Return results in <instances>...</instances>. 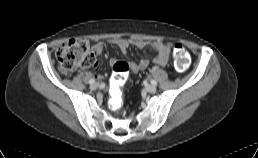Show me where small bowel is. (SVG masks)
<instances>
[{
    "label": "small bowel",
    "mask_w": 258,
    "mask_h": 158,
    "mask_svg": "<svg viewBox=\"0 0 258 158\" xmlns=\"http://www.w3.org/2000/svg\"><path fill=\"white\" fill-rule=\"evenodd\" d=\"M109 43L117 46L123 55L127 53V49L131 45L138 48H150L157 53V55L153 59V62L160 66L167 65L170 59L171 44L169 42H164L161 40L147 41L142 39L114 38L111 39ZM104 46V42H98L92 46L91 50L95 55H100L104 49ZM116 62L117 61L115 59H111L110 61L111 65H114ZM129 65L132 72H138L148 67L149 59L142 58L138 63L131 62L129 63Z\"/></svg>",
    "instance_id": "small-bowel-1"
}]
</instances>
